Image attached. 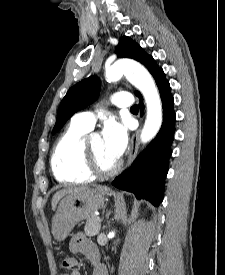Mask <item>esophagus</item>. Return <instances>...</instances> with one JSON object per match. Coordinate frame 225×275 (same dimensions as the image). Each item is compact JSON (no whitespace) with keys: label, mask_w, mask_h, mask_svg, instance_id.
<instances>
[{"label":"esophagus","mask_w":225,"mask_h":275,"mask_svg":"<svg viewBox=\"0 0 225 275\" xmlns=\"http://www.w3.org/2000/svg\"><path fill=\"white\" fill-rule=\"evenodd\" d=\"M139 134H140V130H137L135 134L132 136L131 144H130V154H129L127 166L131 165V163L133 162V160L137 155L138 146H139Z\"/></svg>","instance_id":"esophagus-1"}]
</instances>
